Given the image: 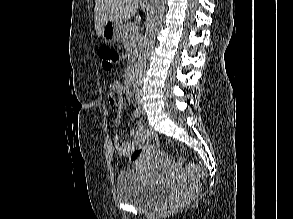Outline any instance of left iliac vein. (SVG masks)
<instances>
[{
    "label": "left iliac vein",
    "mask_w": 293,
    "mask_h": 219,
    "mask_svg": "<svg viewBox=\"0 0 293 219\" xmlns=\"http://www.w3.org/2000/svg\"><path fill=\"white\" fill-rule=\"evenodd\" d=\"M139 108H140V110H141V113H142L143 115H145V110H144V108H143L141 102H139Z\"/></svg>",
    "instance_id": "1"
}]
</instances>
